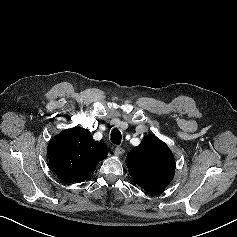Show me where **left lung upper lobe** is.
I'll list each match as a JSON object with an SVG mask.
<instances>
[{
	"instance_id": "5c2ea615",
	"label": "left lung upper lobe",
	"mask_w": 237,
	"mask_h": 237,
	"mask_svg": "<svg viewBox=\"0 0 237 237\" xmlns=\"http://www.w3.org/2000/svg\"><path fill=\"white\" fill-rule=\"evenodd\" d=\"M133 181L147 193L165 189L175 173V160L168 146L155 135H146L126 156Z\"/></svg>"
}]
</instances>
